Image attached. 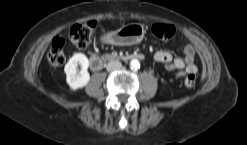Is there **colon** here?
Here are the masks:
<instances>
[{
  "label": "colon",
  "mask_w": 247,
  "mask_h": 145,
  "mask_svg": "<svg viewBox=\"0 0 247 145\" xmlns=\"http://www.w3.org/2000/svg\"><path fill=\"white\" fill-rule=\"evenodd\" d=\"M95 29V23L88 21L77 24L70 30V41L78 48H85L91 41ZM153 34L161 40H169L174 36L175 28L171 24H155L152 27ZM50 64L54 66L62 65L65 62V40L62 37H55L52 40L50 49L47 54ZM178 75L181 76L179 73ZM196 83V76L188 73L184 78L186 87H193Z\"/></svg>",
  "instance_id": "obj_1"
}]
</instances>
